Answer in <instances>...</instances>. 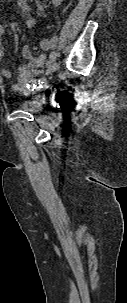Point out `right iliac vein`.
<instances>
[{
    "mask_svg": "<svg viewBox=\"0 0 127 303\" xmlns=\"http://www.w3.org/2000/svg\"><path fill=\"white\" fill-rule=\"evenodd\" d=\"M56 69H57V63L53 62L51 65L47 67L46 70L47 75L54 73Z\"/></svg>",
    "mask_w": 127,
    "mask_h": 303,
    "instance_id": "1",
    "label": "right iliac vein"
}]
</instances>
